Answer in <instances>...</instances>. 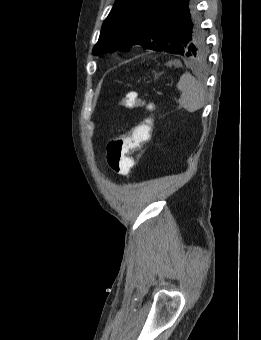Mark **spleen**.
I'll return each instance as SVG.
<instances>
[{"label": "spleen", "mask_w": 261, "mask_h": 340, "mask_svg": "<svg viewBox=\"0 0 261 340\" xmlns=\"http://www.w3.org/2000/svg\"><path fill=\"white\" fill-rule=\"evenodd\" d=\"M177 88L182 92L178 103L190 113L198 111L205 105L206 91L204 86L190 73L180 77Z\"/></svg>", "instance_id": "1"}]
</instances>
